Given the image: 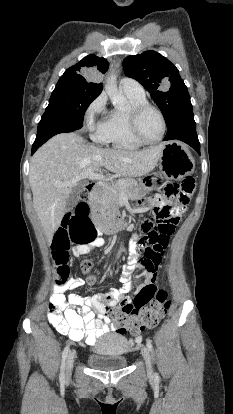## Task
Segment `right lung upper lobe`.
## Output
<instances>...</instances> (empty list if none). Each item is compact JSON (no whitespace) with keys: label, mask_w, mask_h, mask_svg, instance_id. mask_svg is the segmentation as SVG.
<instances>
[{"label":"right lung upper lobe","mask_w":233,"mask_h":414,"mask_svg":"<svg viewBox=\"0 0 233 414\" xmlns=\"http://www.w3.org/2000/svg\"><path fill=\"white\" fill-rule=\"evenodd\" d=\"M108 67L109 63L106 59L89 55L76 65L68 68L58 82L101 93L103 84L91 82V79L97 73L104 74ZM79 72H82L84 76L79 74Z\"/></svg>","instance_id":"obj_1"}]
</instances>
